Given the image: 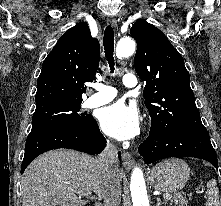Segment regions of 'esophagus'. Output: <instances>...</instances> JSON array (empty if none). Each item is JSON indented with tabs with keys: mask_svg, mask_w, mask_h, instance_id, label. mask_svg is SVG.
Returning a JSON list of instances; mask_svg holds the SVG:
<instances>
[{
	"mask_svg": "<svg viewBox=\"0 0 221 206\" xmlns=\"http://www.w3.org/2000/svg\"><path fill=\"white\" fill-rule=\"evenodd\" d=\"M107 23L109 25L114 26V27L117 26V21L114 17H108L107 18ZM134 163H135V161H134V159H133V157L131 156L130 153L124 152L122 154V164H123L124 168L131 169L133 167Z\"/></svg>",
	"mask_w": 221,
	"mask_h": 206,
	"instance_id": "esophagus-1",
	"label": "esophagus"
}]
</instances>
